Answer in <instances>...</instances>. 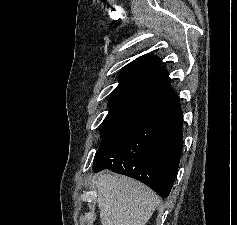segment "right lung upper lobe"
Here are the masks:
<instances>
[{
  "label": "right lung upper lobe",
  "mask_w": 237,
  "mask_h": 225,
  "mask_svg": "<svg viewBox=\"0 0 237 225\" xmlns=\"http://www.w3.org/2000/svg\"><path fill=\"white\" fill-rule=\"evenodd\" d=\"M158 56L143 55L119 75V86L110 96L104 121L125 123L144 111L169 101L177 94L171 88L168 71Z\"/></svg>",
  "instance_id": "right-lung-upper-lobe-1"
}]
</instances>
